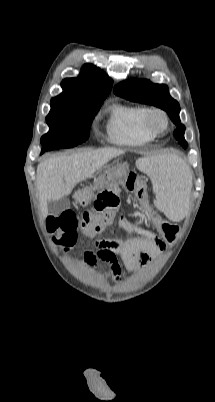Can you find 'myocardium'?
I'll return each instance as SVG.
<instances>
[{"instance_id":"obj_1","label":"myocardium","mask_w":215,"mask_h":402,"mask_svg":"<svg viewBox=\"0 0 215 402\" xmlns=\"http://www.w3.org/2000/svg\"><path fill=\"white\" fill-rule=\"evenodd\" d=\"M155 117L162 118L164 122L162 128H156L153 125V119ZM143 127L149 134L155 137L165 134L170 127V119L167 112L159 107L146 108L143 116Z\"/></svg>"}]
</instances>
